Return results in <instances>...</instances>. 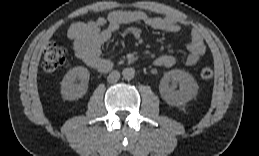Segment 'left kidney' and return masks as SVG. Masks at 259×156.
I'll return each instance as SVG.
<instances>
[{"mask_svg": "<svg viewBox=\"0 0 259 156\" xmlns=\"http://www.w3.org/2000/svg\"><path fill=\"white\" fill-rule=\"evenodd\" d=\"M178 83L179 90H175ZM159 91L167 104L182 106L197 95L198 84L188 72L175 69L164 73Z\"/></svg>", "mask_w": 259, "mask_h": 156, "instance_id": "left-kidney-1", "label": "left kidney"}]
</instances>
